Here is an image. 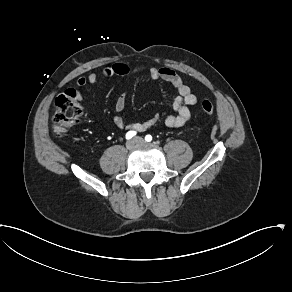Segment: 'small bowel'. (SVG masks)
<instances>
[{
	"label": "small bowel",
	"mask_w": 292,
	"mask_h": 292,
	"mask_svg": "<svg viewBox=\"0 0 292 292\" xmlns=\"http://www.w3.org/2000/svg\"><path fill=\"white\" fill-rule=\"evenodd\" d=\"M146 73L153 80H163L171 84L178 92V95L173 100L174 114H170L165 118V125L169 128H178L187 123L191 117L190 107L197 103V97L192 92L191 88L183 81L180 75L175 71L166 67H146L139 65L130 67L125 63H115L103 69L102 75L106 78L119 75L129 76ZM100 77L97 73H90L87 76H81L77 79L76 85L78 87H86L87 85L97 84ZM72 94L78 101L83 99V95L74 89ZM126 92H122L116 100L115 110L117 113L123 112L126 105ZM160 120L159 115H155L148 120L126 124L120 115L113 118V124L116 128L123 130L125 128L134 129L142 132L155 126Z\"/></svg>",
	"instance_id": "obj_1"
}]
</instances>
